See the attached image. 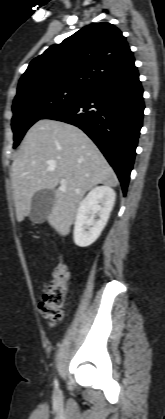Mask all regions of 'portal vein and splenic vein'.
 I'll return each mask as SVG.
<instances>
[{"instance_id": "1", "label": "portal vein and splenic vein", "mask_w": 165, "mask_h": 419, "mask_svg": "<svg viewBox=\"0 0 165 419\" xmlns=\"http://www.w3.org/2000/svg\"><path fill=\"white\" fill-rule=\"evenodd\" d=\"M60 185L61 186H65L66 185V180L65 179H61L60 180Z\"/></svg>"}]
</instances>
